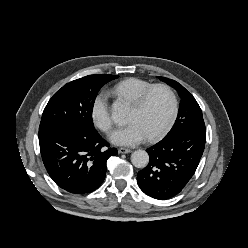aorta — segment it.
Segmentation results:
<instances>
[{
    "mask_svg": "<svg viewBox=\"0 0 248 248\" xmlns=\"http://www.w3.org/2000/svg\"><path fill=\"white\" fill-rule=\"evenodd\" d=\"M127 114V107L120 101H116L112 105V117L115 121H122ZM131 162L137 168H144L148 165L149 155L144 150H136L131 155Z\"/></svg>",
    "mask_w": 248,
    "mask_h": 248,
    "instance_id": "762f6f07",
    "label": "aorta"
}]
</instances>
